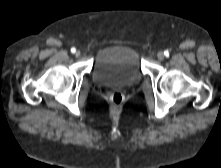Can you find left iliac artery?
I'll list each match as a JSON object with an SVG mask.
<instances>
[{
	"mask_svg": "<svg viewBox=\"0 0 221 168\" xmlns=\"http://www.w3.org/2000/svg\"><path fill=\"white\" fill-rule=\"evenodd\" d=\"M164 55L166 56V57H168L169 56V52L166 50V51H164Z\"/></svg>",
	"mask_w": 221,
	"mask_h": 168,
	"instance_id": "44dca946",
	"label": "left iliac artery"
}]
</instances>
